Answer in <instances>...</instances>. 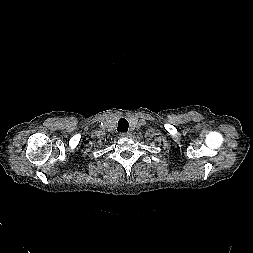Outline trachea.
I'll return each instance as SVG.
<instances>
[{
    "label": "trachea",
    "mask_w": 253,
    "mask_h": 253,
    "mask_svg": "<svg viewBox=\"0 0 253 253\" xmlns=\"http://www.w3.org/2000/svg\"><path fill=\"white\" fill-rule=\"evenodd\" d=\"M128 127H129L128 121L126 119L122 118L118 121L117 131L118 132H127Z\"/></svg>",
    "instance_id": "obj_1"
}]
</instances>
